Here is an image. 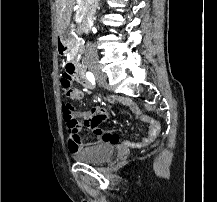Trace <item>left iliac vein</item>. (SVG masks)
I'll use <instances>...</instances> for the list:
<instances>
[{"mask_svg": "<svg viewBox=\"0 0 217 202\" xmlns=\"http://www.w3.org/2000/svg\"><path fill=\"white\" fill-rule=\"evenodd\" d=\"M98 82H99V85H101V86H103V85L105 84V82L102 81L101 78H99V81H98Z\"/></svg>", "mask_w": 217, "mask_h": 202, "instance_id": "obj_1", "label": "left iliac vein"}]
</instances>
